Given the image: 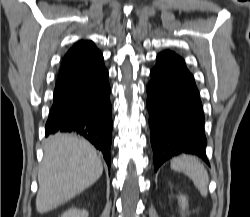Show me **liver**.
<instances>
[{
	"label": "liver",
	"instance_id": "1",
	"mask_svg": "<svg viewBox=\"0 0 250 217\" xmlns=\"http://www.w3.org/2000/svg\"><path fill=\"white\" fill-rule=\"evenodd\" d=\"M103 165L85 139L68 134L50 136L44 145L36 197L39 213L49 212L94 184Z\"/></svg>",
	"mask_w": 250,
	"mask_h": 217
}]
</instances>
